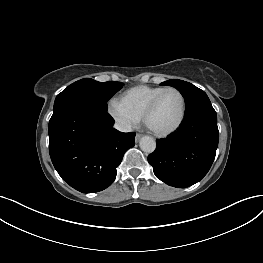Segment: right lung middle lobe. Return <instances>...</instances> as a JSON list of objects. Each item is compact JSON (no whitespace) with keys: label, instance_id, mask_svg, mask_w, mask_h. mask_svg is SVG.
<instances>
[{"label":"right lung middle lobe","instance_id":"right-lung-middle-lobe-1","mask_svg":"<svg viewBox=\"0 0 263 263\" xmlns=\"http://www.w3.org/2000/svg\"><path fill=\"white\" fill-rule=\"evenodd\" d=\"M123 86V83L109 81L98 82L90 78L81 79L57 95L53 114L65 107L85 106L107 111V101Z\"/></svg>","mask_w":263,"mask_h":263}]
</instances>
